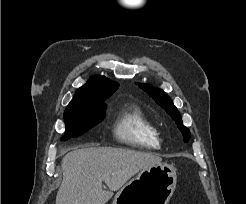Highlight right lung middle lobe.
I'll use <instances>...</instances> for the list:
<instances>
[{
	"instance_id": "obj_1",
	"label": "right lung middle lobe",
	"mask_w": 246,
	"mask_h": 204,
	"mask_svg": "<svg viewBox=\"0 0 246 204\" xmlns=\"http://www.w3.org/2000/svg\"><path fill=\"white\" fill-rule=\"evenodd\" d=\"M107 97H97L80 105L67 106L64 112L66 134L62 140L77 137L102 122L106 116L104 101Z\"/></svg>"
}]
</instances>
